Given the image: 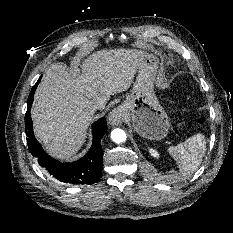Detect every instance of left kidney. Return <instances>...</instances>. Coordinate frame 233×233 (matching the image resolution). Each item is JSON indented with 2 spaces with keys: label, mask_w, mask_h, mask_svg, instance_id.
Returning a JSON list of instances; mask_svg holds the SVG:
<instances>
[{
  "label": "left kidney",
  "mask_w": 233,
  "mask_h": 233,
  "mask_svg": "<svg viewBox=\"0 0 233 233\" xmlns=\"http://www.w3.org/2000/svg\"><path fill=\"white\" fill-rule=\"evenodd\" d=\"M149 151L153 157H159V153L155 149L151 148Z\"/></svg>",
  "instance_id": "1"
}]
</instances>
